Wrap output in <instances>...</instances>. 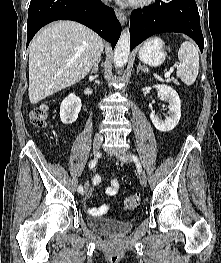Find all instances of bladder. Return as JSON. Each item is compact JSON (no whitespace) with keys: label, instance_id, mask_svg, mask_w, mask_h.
<instances>
[{"label":"bladder","instance_id":"bladder-1","mask_svg":"<svg viewBox=\"0 0 221 263\" xmlns=\"http://www.w3.org/2000/svg\"><path fill=\"white\" fill-rule=\"evenodd\" d=\"M88 227L109 237L124 236L133 228V221L118 220L109 216H92L87 219Z\"/></svg>","mask_w":221,"mask_h":263}]
</instances>
